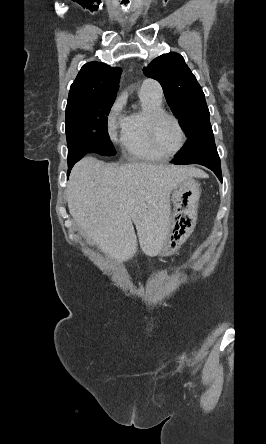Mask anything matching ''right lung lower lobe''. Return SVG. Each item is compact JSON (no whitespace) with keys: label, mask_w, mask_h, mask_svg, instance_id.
Instances as JSON below:
<instances>
[{"label":"right lung lower lobe","mask_w":266,"mask_h":444,"mask_svg":"<svg viewBox=\"0 0 266 444\" xmlns=\"http://www.w3.org/2000/svg\"><path fill=\"white\" fill-rule=\"evenodd\" d=\"M76 162H72V163H68V176H69V174H70V171H71V169H72V167L74 166V164H75Z\"/></svg>","instance_id":"obj_1"}]
</instances>
